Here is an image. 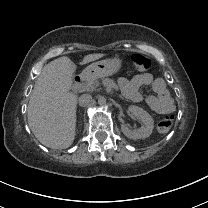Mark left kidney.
Segmentation results:
<instances>
[{
    "label": "left kidney",
    "instance_id": "obj_1",
    "mask_svg": "<svg viewBox=\"0 0 208 208\" xmlns=\"http://www.w3.org/2000/svg\"><path fill=\"white\" fill-rule=\"evenodd\" d=\"M128 111L141 120L142 126L139 129L131 130L126 125H122L123 134L134 140L149 137L154 128V121L150 114L134 105L129 106Z\"/></svg>",
    "mask_w": 208,
    "mask_h": 208
}]
</instances>
